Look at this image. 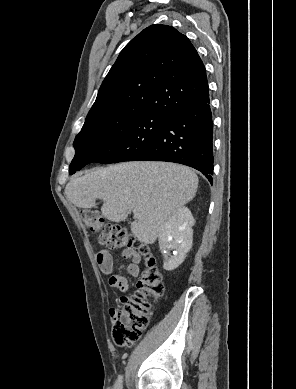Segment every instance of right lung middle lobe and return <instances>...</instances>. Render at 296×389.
Returning a JSON list of instances; mask_svg holds the SVG:
<instances>
[{
  "label": "right lung middle lobe",
  "mask_w": 296,
  "mask_h": 389,
  "mask_svg": "<svg viewBox=\"0 0 296 389\" xmlns=\"http://www.w3.org/2000/svg\"><path fill=\"white\" fill-rule=\"evenodd\" d=\"M169 116L113 110L86 119L74 141L69 173L81 164L134 161L168 123Z\"/></svg>",
  "instance_id": "right-lung-middle-lobe-1"
}]
</instances>
